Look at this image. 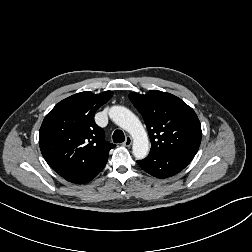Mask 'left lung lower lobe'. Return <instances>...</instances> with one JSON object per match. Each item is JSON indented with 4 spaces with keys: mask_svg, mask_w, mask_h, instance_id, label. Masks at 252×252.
<instances>
[{
    "mask_svg": "<svg viewBox=\"0 0 252 252\" xmlns=\"http://www.w3.org/2000/svg\"><path fill=\"white\" fill-rule=\"evenodd\" d=\"M192 160V157L181 154H162L148 156L144 160L137 161L138 165L157 178H167L179 173Z\"/></svg>",
    "mask_w": 252,
    "mask_h": 252,
    "instance_id": "obj_1",
    "label": "left lung lower lobe"
}]
</instances>
